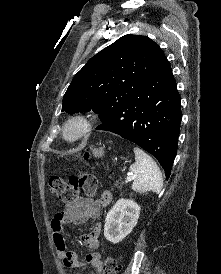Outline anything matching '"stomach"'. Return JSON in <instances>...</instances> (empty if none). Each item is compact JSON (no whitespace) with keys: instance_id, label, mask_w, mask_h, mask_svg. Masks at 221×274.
<instances>
[{"instance_id":"stomach-1","label":"stomach","mask_w":221,"mask_h":274,"mask_svg":"<svg viewBox=\"0 0 221 274\" xmlns=\"http://www.w3.org/2000/svg\"><path fill=\"white\" fill-rule=\"evenodd\" d=\"M92 154L96 158H100L104 155V148L94 149L92 151Z\"/></svg>"}]
</instances>
